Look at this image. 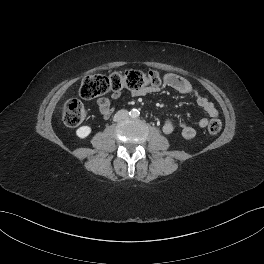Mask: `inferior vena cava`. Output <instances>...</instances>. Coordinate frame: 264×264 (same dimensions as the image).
Instances as JSON below:
<instances>
[{
  "label": "inferior vena cava",
  "instance_id": "1",
  "mask_svg": "<svg viewBox=\"0 0 264 264\" xmlns=\"http://www.w3.org/2000/svg\"><path fill=\"white\" fill-rule=\"evenodd\" d=\"M128 116H129V113L127 110H119L114 116V121L126 119L128 118Z\"/></svg>",
  "mask_w": 264,
  "mask_h": 264
}]
</instances>
